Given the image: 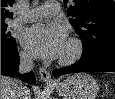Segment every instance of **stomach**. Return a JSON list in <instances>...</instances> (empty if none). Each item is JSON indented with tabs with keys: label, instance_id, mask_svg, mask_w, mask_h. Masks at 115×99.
<instances>
[{
	"label": "stomach",
	"instance_id": "1",
	"mask_svg": "<svg viewBox=\"0 0 115 99\" xmlns=\"http://www.w3.org/2000/svg\"><path fill=\"white\" fill-rule=\"evenodd\" d=\"M63 99H95L99 90L96 80L86 73H78L55 85Z\"/></svg>",
	"mask_w": 115,
	"mask_h": 99
}]
</instances>
